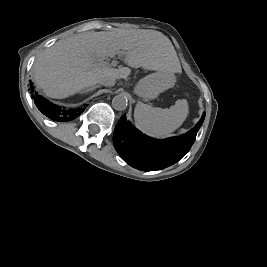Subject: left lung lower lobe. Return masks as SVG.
<instances>
[{
    "instance_id": "1",
    "label": "left lung lower lobe",
    "mask_w": 267,
    "mask_h": 267,
    "mask_svg": "<svg viewBox=\"0 0 267 267\" xmlns=\"http://www.w3.org/2000/svg\"><path fill=\"white\" fill-rule=\"evenodd\" d=\"M204 118L205 114L185 135L156 140L134 129L122 115L114 129V146L132 167L144 171L161 170L179 161L189 151Z\"/></svg>"
}]
</instances>
